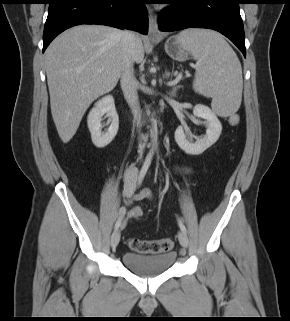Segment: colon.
Masks as SVG:
<instances>
[{"label":"colon","instance_id":"1","mask_svg":"<svg viewBox=\"0 0 290 321\" xmlns=\"http://www.w3.org/2000/svg\"><path fill=\"white\" fill-rule=\"evenodd\" d=\"M143 215L141 208L136 207L131 210V217L140 219ZM174 242L171 238H162L157 240H144L139 238H132L129 240V247L138 253L143 254H161L171 251Z\"/></svg>","mask_w":290,"mask_h":321}]
</instances>
